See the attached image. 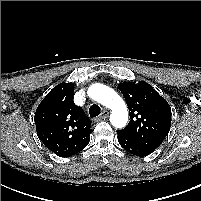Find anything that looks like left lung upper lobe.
Here are the masks:
<instances>
[{
	"label": "left lung upper lobe",
	"mask_w": 201,
	"mask_h": 201,
	"mask_svg": "<svg viewBox=\"0 0 201 201\" xmlns=\"http://www.w3.org/2000/svg\"><path fill=\"white\" fill-rule=\"evenodd\" d=\"M129 108L130 122L118 132L154 151L167 136L171 126V107L168 102L144 81L120 83Z\"/></svg>",
	"instance_id": "5c2ea615"
}]
</instances>
